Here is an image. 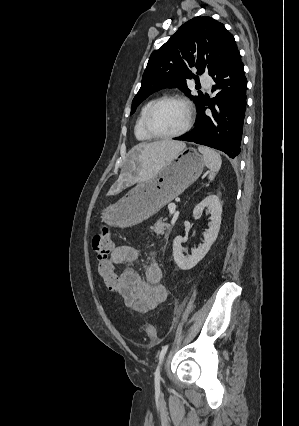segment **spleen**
<instances>
[{"label": "spleen", "instance_id": "obj_1", "mask_svg": "<svg viewBox=\"0 0 299 426\" xmlns=\"http://www.w3.org/2000/svg\"><path fill=\"white\" fill-rule=\"evenodd\" d=\"M198 150L203 155L205 164L210 170L209 179L213 180L215 177V174L221 168V164H222L221 156L216 151L208 147L199 146Z\"/></svg>", "mask_w": 299, "mask_h": 426}]
</instances>
